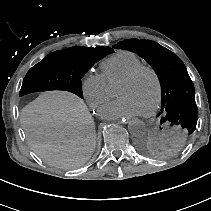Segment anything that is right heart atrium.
Wrapping results in <instances>:
<instances>
[{
	"label": "right heart atrium",
	"mask_w": 211,
	"mask_h": 211,
	"mask_svg": "<svg viewBox=\"0 0 211 211\" xmlns=\"http://www.w3.org/2000/svg\"><path fill=\"white\" fill-rule=\"evenodd\" d=\"M82 94L92 109L101 110L110 98L108 84L100 73H90L81 81Z\"/></svg>",
	"instance_id": "right-heart-atrium-1"
}]
</instances>
